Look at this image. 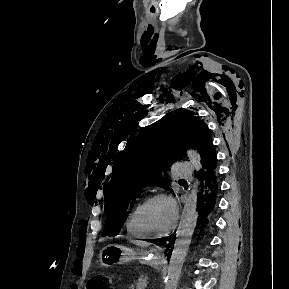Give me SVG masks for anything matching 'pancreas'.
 <instances>
[{
    "label": "pancreas",
    "instance_id": "1",
    "mask_svg": "<svg viewBox=\"0 0 289 289\" xmlns=\"http://www.w3.org/2000/svg\"><path fill=\"white\" fill-rule=\"evenodd\" d=\"M147 284V277L141 276L138 281L132 286V289H145L144 285Z\"/></svg>",
    "mask_w": 289,
    "mask_h": 289
}]
</instances>
